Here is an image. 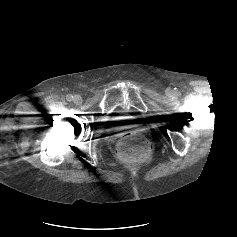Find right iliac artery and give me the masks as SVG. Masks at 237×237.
Masks as SVG:
<instances>
[{"label": "right iliac artery", "instance_id": "right-iliac-artery-1", "mask_svg": "<svg viewBox=\"0 0 237 237\" xmlns=\"http://www.w3.org/2000/svg\"><path fill=\"white\" fill-rule=\"evenodd\" d=\"M72 99H73V96H72V95H67V97H66V100H67V101H72Z\"/></svg>", "mask_w": 237, "mask_h": 237}]
</instances>
